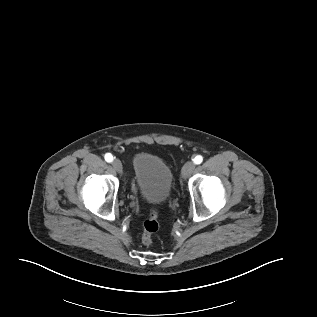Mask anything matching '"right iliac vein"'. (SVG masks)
<instances>
[{
  "mask_svg": "<svg viewBox=\"0 0 317 317\" xmlns=\"http://www.w3.org/2000/svg\"><path fill=\"white\" fill-rule=\"evenodd\" d=\"M112 166L118 173H122V163L119 159H114Z\"/></svg>",
  "mask_w": 317,
  "mask_h": 317,
  "instance_id": "obj_1",
  "label": "right iliac vein"
}]
</instances>
